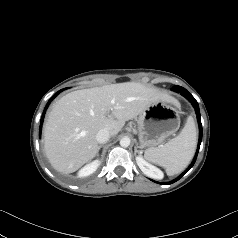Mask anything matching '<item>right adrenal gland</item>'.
I'll return each instance as SVG.
<instances>
[{"mask_svg": "<svg viewBox=\"0 0 238 238\" xmlns=\"http://www.w3.org/2000/svg\"><path fill=\"white\" fill-rule=\"evenodd\" d=\"M101 147H102V146H99L98 152H99V150H100ZM97 156H98V153H97Z\"/></svg>", "mask_w": 238, "mask_h": 238, "instance_id": "1", "label": "right adrenal gland"}]
</instances>
